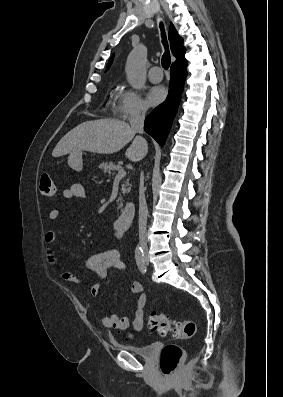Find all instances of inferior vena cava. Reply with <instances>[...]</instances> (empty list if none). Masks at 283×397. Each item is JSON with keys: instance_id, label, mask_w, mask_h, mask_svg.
Masks as SVG:
<instances>
[{"instance_id": "inferior-vena-cava-1", "label": "inferior vena cava", "mask_w": 283, "mask_h": 397, "mask_svg": "<svg viewBox=\"0 0 283 397\" xmlns=\"http://www.w3.org/2000/svg\"><path fill=\"white\" fill-rule=\"evenodd\" d=\"M131 128L136 132L143 133L144 111L137 108L129 119ZM143 182V173H141V184ZM148 208L146 204L144 189L141 186L139 191V243L143 249L147 248L146 227H147Z\"/></svg>"}]
</instances>
